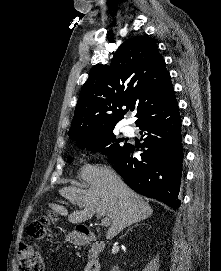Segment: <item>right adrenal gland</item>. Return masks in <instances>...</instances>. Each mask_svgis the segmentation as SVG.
Masks as SVG:
<instances>
[{
	"mask_svg": "<svg viewBox=\"0 0 221 271\" xmlns=\"http://www.w3.org/2000/svg\"><path fill=\"white\" fill-rule=\"evenodd\" d=\"M136 225H139V223H136ZM130 229H132V227H130Z\"/></svg>",
	"mask_w": 221,
	"mask_h": 271,
	"instance_id": "2a0ac1e0",
	"label": "right adrenal gland"
}]
</instances>
